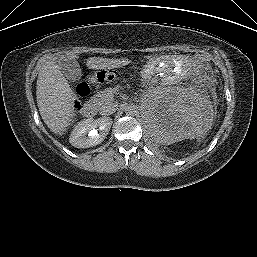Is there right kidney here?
Wrapping results in <instances>:
<instances>
[{
  "instance_id": "obj_1",
  "label": "right kidney",
  "mask_w": 257,
  "mask_h": 257,
  "mask_svg": "<svg viewBox=\"0 0 257 257\" xmlns=\"http://www.w3.org/2000/svg\"><path fill=\"white\" fill-rule=\"evenodd\" d=\"M112 123L113 121L109 117L83 120L74 127L69 142L76 148L96 146L104 141Z\"/></svg>"
}]
</instances>
